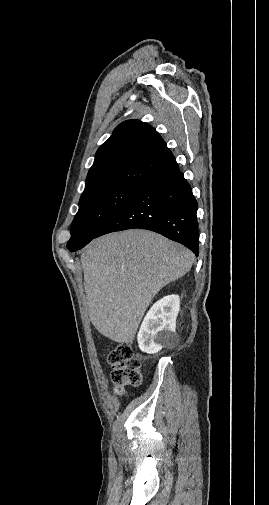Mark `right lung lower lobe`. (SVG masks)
Here are the masks:
<instances>
[{
	"label": "right lung lower lobe",
	"mask_w": 269,
	"mask_h": 505,
	"mask_svg": "<svg viewBox=\"0 0 269 505\" xmlns=\"http://www.w3.org/2000/svg\"><path fill=\"white\" fill-rule=\"evenodd\" d=\"M198 204L178 164L139 187L97 237L132 228L157 232L198 254Z\"/></svg>",
	"instance_id": "1"
}]
</instances>
